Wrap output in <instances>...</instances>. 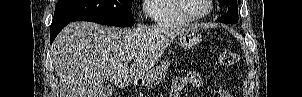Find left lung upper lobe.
Returning <instances> with one entry per match:
<instances>
[{"label": "left lung upper lobe", "mask_w": 302, "mask_h": 97, "mask_svg": "<svg viewBox=\"0 0 302 97\" xmlns=\"http://www.w3.org/2000/svg\"><path fill=\"white\" fill-rule=\"evenodd\" d=\"M221 3L230 6L228 12L218 20L225 23H234L238 21V9L236 0H219Z\"/></svg>", "instance_id": "obj_1"}]
</instances>
